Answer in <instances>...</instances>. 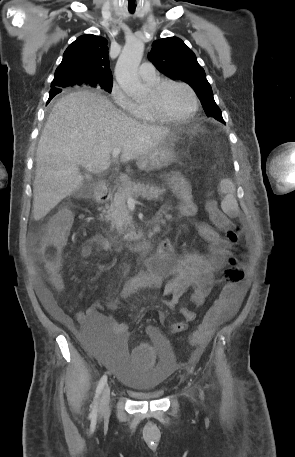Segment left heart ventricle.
<instances>
[{"mask_svg":"<svg viewBox=\"0 0 295 457\" xmlns=\"http://www.w3.org/2000/svg\"><path fill=\"white\" fill-rule=\"evenodd\" d=\"M155 102L161 112L168 117H181L192 108L193 101L190 93L184 87L167 86L158 96L151 91L147 103Z\"/></svg>","mask_w":295,"mask_h":457,"instance_id":"b2bd125f","label":"left heart ventricle"}]
</instances>
